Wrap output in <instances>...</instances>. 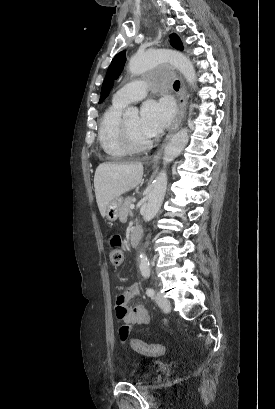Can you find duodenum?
I'll list each match as a JSON object with an SVG mask.
<instances>
[{
	"instance_id": "410a0bca",
	"label": "duodenum",
	"mask_w": 275,
	"mask_h": 409,
	"mask_svg": "<svg viewBox=\"0 0 275 409\" xmlns=\"http://www.w3.org/2000/svg\"><path fill=\"white\" fill-rule=\"evenodd\" d=\"M141 236H142V230H141V228H140L139 226H135V227L132 229L131 234H130V245H131L132 247L137 246L138 243H139V241H140V239H141Z\"/></svg>"
}]
</instances>
